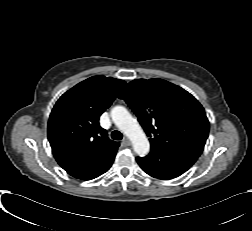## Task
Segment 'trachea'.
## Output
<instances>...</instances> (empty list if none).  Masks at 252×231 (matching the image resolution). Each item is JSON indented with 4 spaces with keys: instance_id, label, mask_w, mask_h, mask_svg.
<instances>
[{
    "instance_id": "obj_1",
    "label": "trachea",
    "mask_w": 252,
    "mask_h": 231,
    "mask_svg": "<svg viewBox=\"0 0 252 231\" xmlns=\"http://www.w3.org/2000/svg\"><path fill=\"white\" fill-rule=\"evenodd\" d=\"M111 137L112 139L114 140H121L123 138V135L120 131H117V130H114L112 133H111Z\"/></svg>"
}]
</instances>
